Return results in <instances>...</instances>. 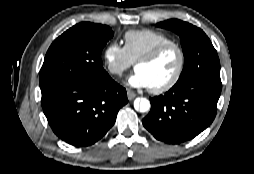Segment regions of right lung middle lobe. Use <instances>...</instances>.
<instances>
[{
	"label": "right lung middle lobe",
	"mask_w": 254,
	"mask_h": 174,
	"mask_svg": "<svg viewBox=\"0 0 254 174\" xmlns=\"http://www.w3.org/2000/svg\"><path fill=\"white\" fill-rule=\"evenodd\" d=\"M113 34L110 27L89 22L76 24L64 32L46 53L40 70L41 91L106 76L100 56Z\"/></svg>",
	"instance_id": "dd1d6c3e"
}]
</instances>
